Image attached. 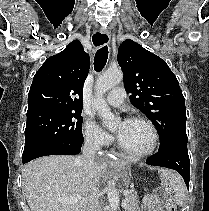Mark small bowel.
<instances>
[{
	"label": "small bowel",
	"mask_w": 209,
	"mask_h": 211,
	"mask_svg": "<svg viewBox=\"0 0 209 211\" xmlns=\"http://www.w3.org/2000/svg\"><path fill=\"white\" fill-rule=\"evenodd\" d=\"M166 199V192L164 189L159 188L153 193L148 194L144 198V206L147 211H165L163 202Z\"/></svg>",
	"instance_id": "obj_1"
}]
</instances>
